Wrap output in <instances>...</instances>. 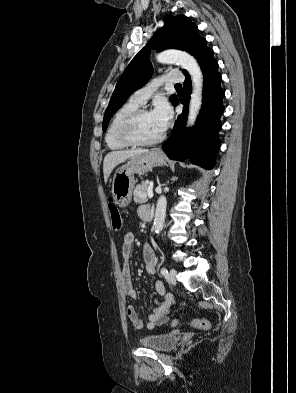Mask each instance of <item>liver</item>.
Instances as JSON below:
<instances>
[{
	"label": "liver",
	"instance_id": "liver-1",
	"mask_svg": "<svg viewBox=\"0 0 296 393\" xmlns=\"http://www.w3.org/2000/svg\"><path fill=\"white\" fill-rule=\"evenodd\" d=\"M148 149H131V150H121L112 151L108 153L103 161V173L104 181L107 182L112 170L120 163L125 162L127 159L134 156L148 153Z\"/></svg>",
	"mask_w": 296,
	"mask_h": 393
}]
</instances>
